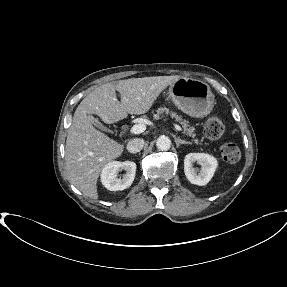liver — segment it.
Segmentation results:
<instances>
[{"instance_id": "6515ba94", "label": "liver", "mask_w": 287, "mask_h": 287, "mask_svg": "<svg viewBox=\"0 0 287 287\" xmlns=\"http://www.w3.org/2000/svg\"><path fill=\"white\" fill-rule=\"evenodd\" d=\"M179 78L175 75L125 79L103 84L90 92L78 105L67 134L65 162L70 183L85 196L98 199L100 173L123 152V144L97 130L89 115H98L104 123L113 124L128 114H145L160 93Z\"/></svg>"}]
</instances>
